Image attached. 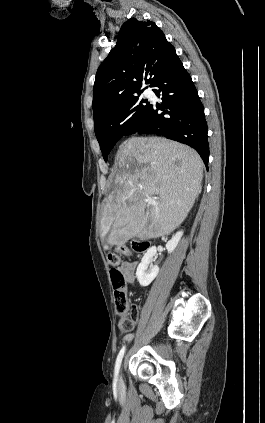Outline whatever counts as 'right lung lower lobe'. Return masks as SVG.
I'll return each instance as SVG.
<instances>
[{
	"label": "right lung lower lobe",
	"instance_id": "98d812e1",
	"mask_svg": "<svg viewBox=\"0 0 265 423\" xmlns=\"http://www.w3.org/2000/svg\"><path fill=\"white\" fill-rule=\"evenodd\" d=\"M151 87L163 106L150 105L143 117L126 133L158 134L194 148L206 167L209 159L204 108L190 75L178 56L158 75ZM163 110V113H158Z\"/></svg>",
	"mask_w": 265,
	"mask_h": 423
}]
</instances>
